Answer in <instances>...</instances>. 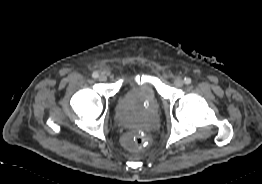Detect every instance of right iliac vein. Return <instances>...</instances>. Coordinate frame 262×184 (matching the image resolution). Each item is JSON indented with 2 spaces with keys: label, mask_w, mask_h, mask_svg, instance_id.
<instances>
[{
  "label": "right iliac vein",
  "mask_w": 262,
  "mask_h": 184,
  "mask_svg": "<svg viewBox=\"0 0 262 184\" xmlns=\"http://www.w3.org/2000/svg\"><path fill=\"white\" fill-rule=\"evenodd\" d=\"M98 79H99V81H106L107 76L105 74H100Z\"/></svg>",
  "instance_id": "63e3f726"
}]
</instances>
